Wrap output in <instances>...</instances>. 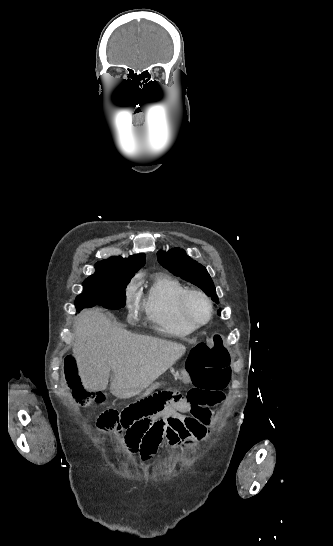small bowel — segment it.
Returning <instances> with one entry per match:
<instances>
[{"mask_svg":"<svg viewBox=\"0 0 333 546\" xmlns=\"http://www.w3.org/2000/svg\"><path fill=\"white\" fill-rule=\"evenodd\" d=\"M175 374L179 380H187V386H193L188 370H180ZM157 386L167 387L168 381L158 380ZM144 390L153 393L156 389L147 386ZM145 392L139 396H147ZM202 396L208 401L184 402L179 408L167 407L154 418H147L145 422H136L134 418H129L123 443L127 451L138 454L142 461L149 462L163 439L177 451L188 450L198 441L204 440L213 418L210 408L223 401L224 393L222 390L207 391L202 392Z\"/></svg>","mask_w":333,"mask_h":546,"instance_id":"small-bowel-1","label":"small bowel"}]
</instances>
